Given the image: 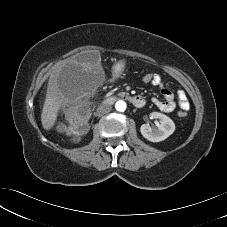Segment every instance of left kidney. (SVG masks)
<instances>
[{
    "instance_id": "1",
    "label": "left kidney",
    "mask_w": 227,
    "mask_h": 227,
    "mask_svg": "<svg viewBox=\"0 0 227 227\" xmlns=\"http://www.w3.org/2000/svg\"><path fill=\"white\" fill-rule=\"evenodd\" d=\"M152 118L159 119L160 124L152 128L149 124H143L140 132L144 138L151 142H160L168 138L175 131V124L168 116L153 112L150 114Z\"/></svg>"
}]
</instances>
